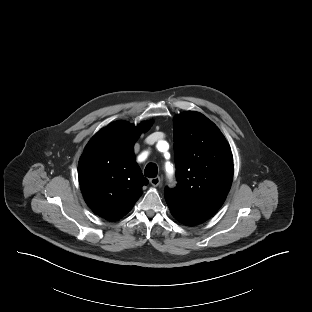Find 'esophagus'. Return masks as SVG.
I'll return each mask as SVG.
<instances>
[{"label": "esophagus", "mask_w": 312, "mask_h": 312, "mask_svg": "<svg viewBox=\"0 0 312 312\" xmlns=\"http://www.w3.org/2000/svg\"><path fill=\"white\" fill-rule=\"evenodd\" d=\"M149 181L153 186H158L161 180H160V177H154V178H151Z\"/></svg>", "instance_id": "esophagus-1"}]
</instances>
